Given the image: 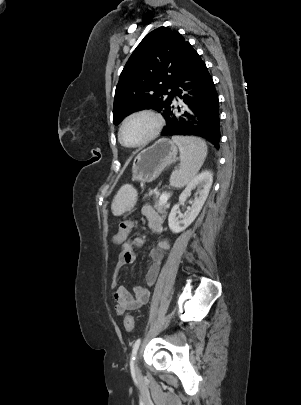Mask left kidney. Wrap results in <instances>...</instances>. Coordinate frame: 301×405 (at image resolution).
<instances>
[{
  "mask_svg": "<svg viewBox=\"0 0 301 405\" xmlns=\"http://www.w3.org/2000/svg\"><path fill=\"white\" fill-rule=\"evenodd\" d=\"M213 182V175L210 171H203L193 180H191L185 190L179 197V204H176L172 209L168 217V225L173 233H180L185 230L198 216L204 202L209 194L210 188ZM197 188V197H195L192 205L185 212L183 219L179 220L177 214H179V206L183 204L186 199L191 195V191Z\"/></svg>",
  "mask_w": 301,
  "mask_h": 405,
  "instance_id": "obj_1",
  "label": "left kidney"
}]
</instances>
